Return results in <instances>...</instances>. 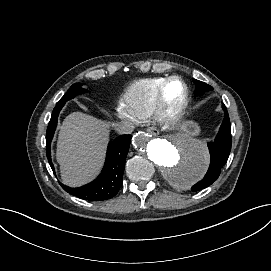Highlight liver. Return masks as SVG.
Listing matches in <instances>:
<instances>
[{"label":"liver","mask_w":271,"mask_h":271,"mask_svg":"<svg viewBox=\"0 0 271 271\" xmlns=\"http://www.w3.org/2000/svg\"><path fill=\"white\" fill-rule=\"evenodd\" d=\"M108 136L107 124L82 113H73L60 127L57 160L64 183L77 186L98 170Z\"/></svg>","instance_id":"liver-1"}]
</instances>
